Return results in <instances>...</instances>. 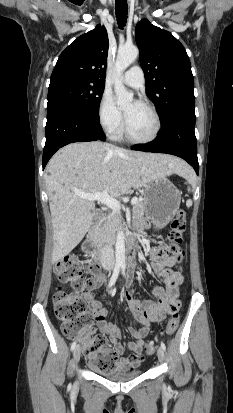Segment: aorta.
Instances as JSON below:
<instances>
[{
  "instance_id": "obj_1",
  "label": "aorta",
  "mask_w": 233,
  "mask_h": 413,
  "mask_svg": "<svg viewBox=\"0 0 233 413\" xmlns=\"http://www.w3.org/2000/svg\"><path fill=\"white\" fill-rule=\"evenodd\" d=\"M139 56V49L136 46L121 47L118 50L115 62L114 91L116 103L120 107H126L133 101V93L127 91L123 82L122 74ZM116 265H125V236L122 230L117 234L115 244Z\"/></svg>"
}]
</instances>
